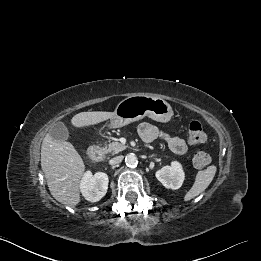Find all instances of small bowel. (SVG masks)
<instances>
[{"label":"small bowel","instance_id":"obj_1","mask_svg":"<svg viewBox=\"0 0 261 261\" xmlns=\"http://www.w3.org/2000/svg\"><path fill=\"white\" fill-rule=\"evenodd\" d=\"M138 132L145 143H150L157 138H161L167 142L169 148L175 154L185 155L188 152V145L184 139L177 136H171L159 130L156 126L152 124H141L138 128Z\"/></svg>","mask_w":261,"mask_h":261}]
</instances>
